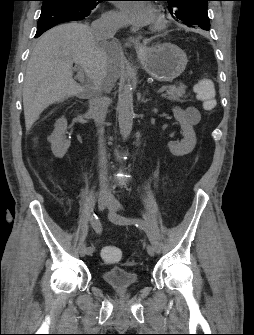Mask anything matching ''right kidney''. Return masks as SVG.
<instances>
[{
    "label": "right kidney",
    "mask_w": 254,
    "mask_h": 335,
    "mask_svg": "<svg viewBox=\"0 0 254 335\" xmlns=\"http://www.w3.org/2000/svg\"><path fill=\"white\" fill-rule=\"evenodd\" d=\"M66 132L67 120L64 117L59 118L54 125L53 133L48 138L52 153L57 158H62L70 147V141L65 136Z\"/></svg>",
    "instance_id": "1"
}]
</instances>
